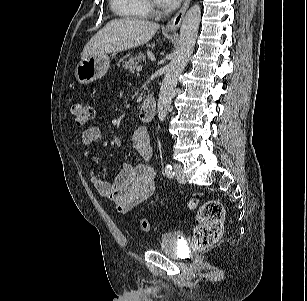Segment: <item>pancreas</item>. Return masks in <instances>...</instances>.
I'll return each mask as SVG.
<instances>
[{
  "label": "pancreas",
  "instance_id": "1",
  "mask_svg": "<svg viewBox=\"0 0 307 301\" xmlns=\"http://www.w3.org/2000/svg\"><path fill=\"white\" fill-rule=\"evenodd\" d=\"M145 55L143 53H137L135 56L129 58L128 62H125L123 67L130 72H134L140 63L145 61Z\"/></svg>",
  "mask_w": 307,
  "mask_h": 301
}]
</instances>
